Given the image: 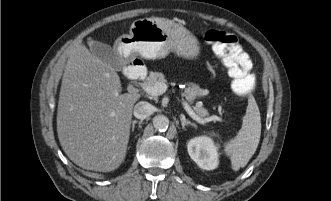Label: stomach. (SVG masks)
<instances>
[{
  "mask_svg": "<svg viewBox=\"0 0 331 201\" xmlns=\"http://www.w3.org/2000/svg\"><path fill=\"white\" fill-rule=\"evenodd\" d=\"M117 51L124 57L139 55L145 59H160L170 52L194 59L200 47L196 37L172 20L159 17L135 20L128 34L115 42Z\"/></svg>",
  "mask_w": 331,
  "mask_h": 201,
  "instance_id": "0dacf381",
  "label": "stomach"
}]
</instances>
